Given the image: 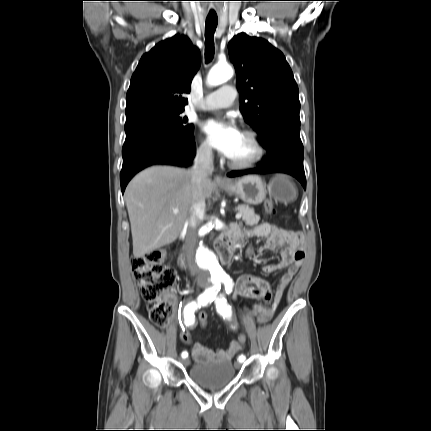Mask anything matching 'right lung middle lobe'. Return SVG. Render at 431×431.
I'll list each match as a JSON object with an SVG mask.
<instances>
[{
    "instance_id": "1",
    "label": "right lung middle lobe",
    "mask_w": 431,
    "mask_h": 431,
    "mask_svg": "<svg viewBox=\"0 0 431 431\" xmlns=\"http://www.w3.org/2000/svg\"><path fill=\"white\" fill-rule=\"evenodd\" d=\"M182 112L183 110L155 112L128 119L125 123L126 135L149 128H163L174 133L191 135L194 125L187 123L188 119L181 116Z\"/></svg>"
}]
</instances>
